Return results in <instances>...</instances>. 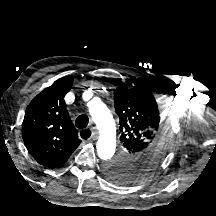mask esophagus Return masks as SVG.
I'll list each match as a JSON object with an SVG mask.
<instances>
[{
    "label": "esophagus",
    "instance_id": "obj_1",
    "mask_svg": "<svg viewBox=\"0 0 216 216\" xmlns=\"http://www.w3.org/2000/svg\"><path fill=\"white\" fill-rule=\"evenodd\" d=\"M87 133H91L90 134V137L87 139V141H91V140H95L98 138V134L96 131H94L93 129L91 128H86V129H83L81 131H79V137L82 138V134H87Z\"/></svg>",
    "mask_w": 216,
    "mask_h": 216
}]
</instances>
